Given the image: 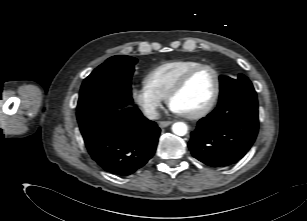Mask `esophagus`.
I'll return each mask as SVG.
<instances>
[{"mask_svg":"<svg viewBox=\"0 0 307 221\" xmlns=\"http://www.w3.org/2000/svg\"><path fill=\"white\" fill-rule=\"evenodd\" d=\"M172 123H173V121H160V122H159V126H160L161 128H165V127L171 125Z\"/></svg>","mask_w":307,"mask_h":221,"instance_id":"34e87169","label":"esophagus"}]
</instances>
